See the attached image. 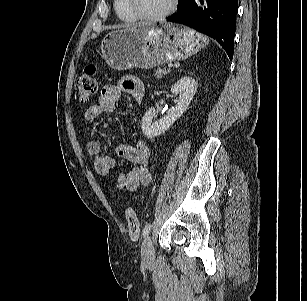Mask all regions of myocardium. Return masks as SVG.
<instances>
[{
	"instance_id": "myocardium-1",
	"label": "myocardium",
	"mask_w": 307,
	"mask_h": 301,
	"mask_svg": "<svg viewBox=\"0 0 307 301\" xmlns=\"http://www.w3.org/2000/svg\"><path fill=\"white\" fill-rule=\"evenodd\" d=\"M132 13L140 20L144 21H159L172 15L177 7L179 0H171L170 6L163 12L157 14H144L138 8L135 0H127Z\"/></svg>"
}]
</instances>
